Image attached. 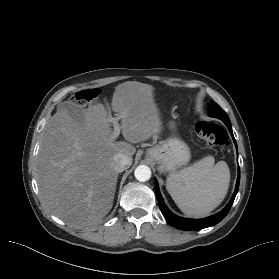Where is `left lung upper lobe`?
<instances>
[{
	"label": "left lung upper lobe",
	"mask_w": 279,
	"mask_h": 279,
	"mask_svg": "<svg viewBox=\"0 0 279 279\" xmlns=\"http://www.w3.org/2000/svg\"><path fill=\"white\" fill-rule=\"evenodd\" d=\"M211 106H212V109H211V112L209 113L210 116L216 117V118L222 120L225 124L230 123V119H229L228 115L226 114V112L224 110L221 109V107L216 102H213L211 104Z\"/></svg>",
	"instance_id": "obj_1"
}]
</instances>
